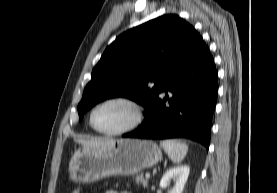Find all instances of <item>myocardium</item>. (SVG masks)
<instances>
[{"mask_svg": "<svg viewBox=\"0 0 277 193\" xmlns=\"http://www.w3.org/2000/svg\"><path fill=\"white\" fill-rule=\"evenodd\" d=\"M112 102H120V103H124V104L131 106L134 110L135 116H134L133 121L124 128H121V129L115 130V131H104L95 126L94 121H93V116H94L95 111L100 106H102L104 104L112 103ZM144 115H145L144 107L136 99L129 97V96H122V95L121 96H111V97L105 98V99L97 102L92 107V109L89 113V124L93 130H95L96 132H98L100 134L107 135V136H121V135H125V134H128V133L136 130L142 124V122L144 120Z\"/></svg>", "mask_w": 277, "mask_h": 193, "instance_id": "1", "label": "myocardium"}]
</instances>
